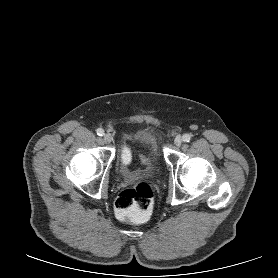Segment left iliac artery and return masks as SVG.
<instances>
[{
    "label": "left iliac artery",
    "mask_w": 278,
    "mask_h": 278,
    "mask_svg": "<svg viewBox=\"0 0 278 278\" xmlns=\"http://www.w3.org/2000/svg\"><path fill=\"white\" fill-rule=\"evenodd\" d=\"M182 138H183L184 142H189L191 140V135L190 134H184Z\"/></svg>",
    "instance_id": "obj_1"
}]
</instances>
